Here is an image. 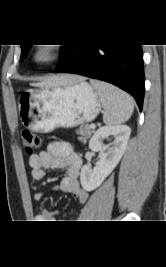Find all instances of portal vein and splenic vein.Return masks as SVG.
Masks as SVG:
<instances>
[{"label":"portal vein and splenic vein","instance_id":"obj_1","mask_svg":"<svg viewBox=\"0 0 166 267\" xmlns=\"http://www.w3.org/2000/svg\"><path fill=\"white\" fill-rule=\"evenodd\" d=\"M95 127H96L95 124H91V125H90V128H91V129H94Z\"/></svg>","mask_w":166,"mask_h":267}]
</instances>
